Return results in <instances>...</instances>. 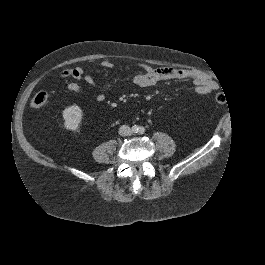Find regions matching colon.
<instances>
[{
  "label": "colon",
  "instance_id": "5ec220e1",
  "mask_svg": "<svg viewBox=\"0 0 265 265\" xmlns=\"http://www.w3.org/2000/svg\"><path fill=\"white\" fill-rule=\"evenodd\" d=\"M72 71L71 70H66L62 73L63 77H71ZM48 93L46 91H39L37 92L32 98H31V106L36 108V109H41L43 108L47 101H48ZM215 100L219 104H223L226 102V95L222 92H219L215 96Z\"/></svg>",
  "mask_w": 265,
  "mask_h": 265
}]
</instances>
